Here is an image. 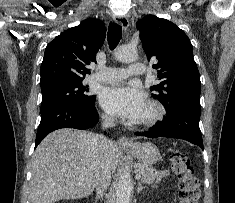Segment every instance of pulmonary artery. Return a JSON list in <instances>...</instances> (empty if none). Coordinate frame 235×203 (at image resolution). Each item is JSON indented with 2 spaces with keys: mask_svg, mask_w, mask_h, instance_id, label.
I'll use <instances>...</instances> for the list:
<instances>
[{
  "mask_svg": "<svg viewBox=\"0 0 235 203\" xmlns=\"http://www.w3.org/2000/svg\"><path fill=\"white\" fill-rule=\"evenodd\" d=\"M145 67L141 63H131L127 68H103L93 76V79L103 83H115L132 75H141Z\"/></svg>",
  "mask_w": 235,
  "mask_h": 203,
  "instance_id": "1",
  "label": "pulmonary artery"
}]
</instances>
